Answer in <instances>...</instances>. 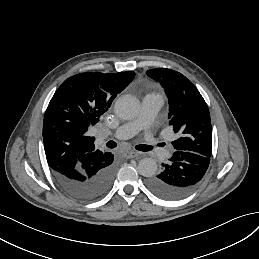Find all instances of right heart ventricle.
Returning <instances> with one entry per match:
<instances>
[{
	"label": "right heart ventricle",
	"instance_id": "e07e8e85",
	"mask_svg": "<svg viewBox=\"0 0 259 259\" xmlns=\"http://www.w3.org/2000/svg\"><path fill=\"white\" fill-rule=\"evenodd\" d=\"M157 94H163L161 89L157 86L148 88L146 90H144V96H150V95H157Z\"/></svg>",
	"mask_w": 259,
	"mask_h": 259
}]
</instances>
